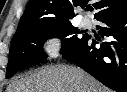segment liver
<instances>
[{"instance_id": "liver-1", "label": "liver", "mask_w": 127, "mask_h": 92, "mask_svg": "<svg viewBox=\"0 0 127 92\" xmlns=\"http://www.w3.org/2000/svg\"><path fill=\"white\" fill-rule=\"evenodd\" d=\"M6 92H111L82 69L56 65L44 67L14 81Z\"/></svg>"}]
</instances>
